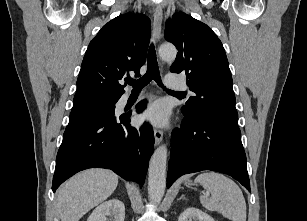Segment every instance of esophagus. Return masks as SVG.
I'll return each instance as SVG.
<instances>
[{
    "label": "esophagus",
    "mask_w": 307,
    "mask_h": 221,
    "mask_svg": "<svg viewBox=\"0 0 307 221\" xmlns=\"http://www.w3.org/2000/svg\"><path fill=\"white\" fill-rule=\"evenodd\" d=\"M163 19V11L160 6L154 9V21H153V39L155 43H158L161 36V25ZM155 145H159L163 138V132L160 129H154Z\"/></svg>",
    "instance_id": "esophagus-1"
}]
</instances>
